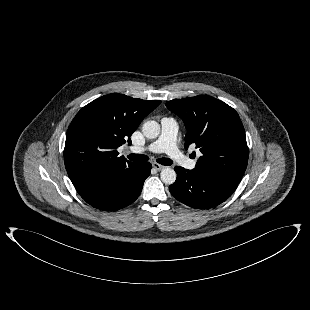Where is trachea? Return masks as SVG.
I'll return each mask as SVG.
<instances>
[{
	"label": "trachea",
	"instance_id": "1",
	"mask_svg": "<svg viewBox=\"0 0 310 310\" xmlns=\"http://www.w3.org/2000/svg\"><path fill=\"white\" fill-rule=\"evenodd\" d=\"M128 158L131 161H137V162H141V161H147L149 160V157L143 154H130L128 155ZM159 164L165 165V166H169L172 165L173 161L169 158H159L156 160Z\"/></svg>",
	"mask_w": 310,
	"mask_h": 310
}]
</instances>
